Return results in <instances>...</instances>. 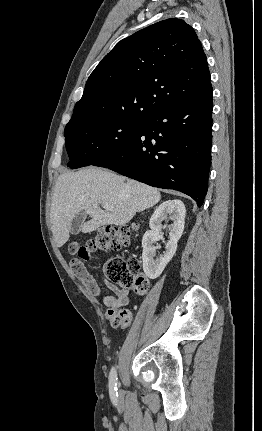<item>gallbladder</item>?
I'll use <instances>...</instances> for the list:
<instances>
[{
    "label": "gallbladder",
    "mask_w": 262,
    "mask_h": 431,
    "mask_svg": "<svg viewBox=\"0 0 262 431\" xmlns=\"http://www.w3.org/2000/svg\"><path fill=\"white\" fill-rule=\"evenodd\" d=\"M87 217V214L85 212H80L75 215L71 222V226L69 229V232L72 235H78L81 231L82 224L84 223L85 219Z\"/></svg>",
    "instance_id": "bac80fb5"
}]
</instances>
